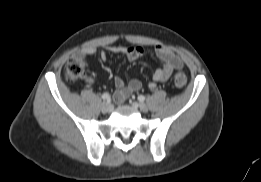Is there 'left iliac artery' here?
<instances>
[{"mask_svg":"<svg viewBox=\"0 0 261 182\" xmlns=\"http://www.w3.org/2000/svg\"><path fill=\"white\" fill-rule=\"evenodd\" d=\"M138 100H139L140 102H144V101H145V96H144V95H139V96H138Z\"/></svg>","mask_w":261,"mask_h":182,"instance_id":"obj_1","label":"left iliac artery"}]
</instances>
